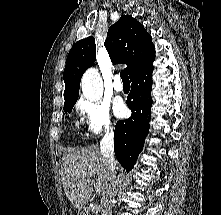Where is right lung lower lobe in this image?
<instances>
[{"instance_id":"98d812e1","label":"right lung lower lobe","mask_w":221,"mask_h":215,"mask_svg":"<svg viewBox=\"0 0 221 215\" xmlns=\"http://www.w3.org/2000/svg\"><path fill=\"white\" fill-rule=\"evenodd\" d=\"M153 62V61H152ZM152 62L130 77L131 93L127 105L132 116L118 121L114 131V151L119 163L130 171L141 152L149 131L151 99Z\"/></svg>"}]
</instances>
